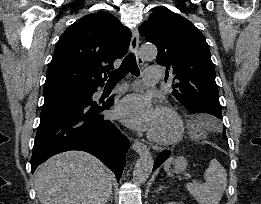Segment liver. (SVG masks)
<instances>
[{"mask_svg":"<svg viewBox=\"0 0 261 204\" xmlns=\"http://www.w3.org/2000/svg\"><path fill=\"white\" fill-rule=\"evenodd\" d=\"M35 189L41 204H107L111 173L89 153L63 152L39 166Z\"/></svg>","mask_w":261,"mask_h":204,"instance_id":"obj_1","label":"liver"}]
</instances>
